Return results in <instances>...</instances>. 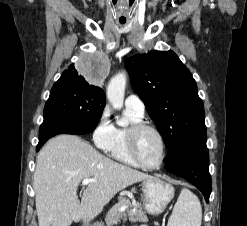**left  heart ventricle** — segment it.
Segmentation results:
<instances>
[{
  "label": "left heart ventricle",
  "instance_id": "left-heart-ventricle-1",
  "mask_svg": "<svg viewBox=\"0 0 247 226\" xmlns=\"http://www.w3.org/2000/svg\"><path fill=\"white\" fill-rule=\"evenodd\" d=\"M137 151L144 163L157 164L161 157V143L157 135L150 130L142 131L137 138Z\"/></svg>",
  "mask_w": 247,
  "mask_h": 226
}]
</instances>
